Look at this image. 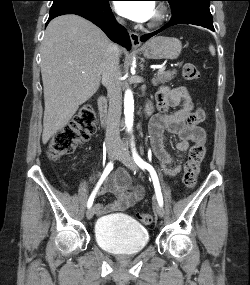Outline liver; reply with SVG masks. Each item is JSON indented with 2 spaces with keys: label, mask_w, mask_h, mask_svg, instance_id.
I'll use <instances>...</instances> for the list:
<instances>
[{
  "label": "liver",
  "mask_w": 250,
  "mask_h": 285,
  "mask_svg": "<svg viewBox=\"0 0 250 285\" xmlns=\"http://www.w3.org/2000/svg\"><path fill=\"white\" fill-rule=\"evenodd\" d=\"M112 45L98 27L77 15L49 23L41 46L44 144L97 92L101 63Z\"/></svg>",
  "instance_id": "obj_1"
}]
</instances>
